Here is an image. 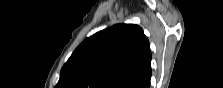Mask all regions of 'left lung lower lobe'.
Segmentation results:
<instances>
[{
	"label": "left lung lower lobe",
	"instance_id": "obj_1",
	"mask_svg": "<svg viewBox=\"0 0 223 88\" xmlns=\"http://www.w3.org/2000/svg\"><path fill=\"white\" fill-rule=\"evenodd\" d=\"M150 78L151 75H149L147 78L138 83L134 88H150Z\"/></svg>",
	"mask_w": 223,
	"mask_h": 88
}]
</instances>
